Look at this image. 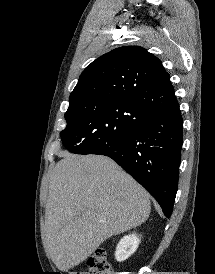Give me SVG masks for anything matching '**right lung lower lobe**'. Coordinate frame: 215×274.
Instances as JSON below:
<instances>
[{"instance_id":"right-lung-lower-lobe-1","label":"right lung lower lobe","mask_w":215,"mask_h":274,"mask_svg":"<svg viewBox=\"0 0 215 274\" xmlns=\"http://www.w3.org/2000/svg\"><path fill=\"white\" fill-rule=\"evenodd\" d=\"M183 120L179 105L157 110L131 134L92 154L112 158L160 204L170 217L178 187Z\"/></svg>"}]
</instances>
